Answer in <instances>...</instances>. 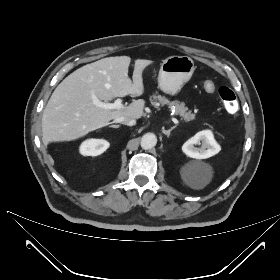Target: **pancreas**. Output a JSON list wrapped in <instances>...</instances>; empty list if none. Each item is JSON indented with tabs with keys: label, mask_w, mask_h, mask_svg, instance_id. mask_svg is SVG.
I'll return each instance as SVG.
<instances>
[{
	"label": "pancreas",
	"mask_w": 280,
	"mask_h": 280,
	"mask_svg": "<svg viewBox=\"0 0 280 280\" xmlns=\"http://www.w3.org/2000/svg\"><path fill=\"white\" fill-rule=\"evenodd\" d=\"M151 104L153 106H164L168 105L169 108L175 110V114L179 115L184 121L189 122L195 119L196 115L192 113L190 110H188L187 107H185V104L183 102L179 101H170L164 96L161 95H153L151 97Z\"/></svg>",
	"instance_id": "cf45deb5"
}]
</instances>
